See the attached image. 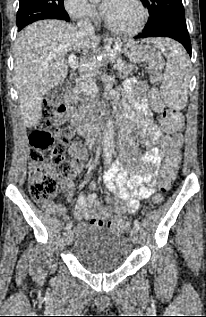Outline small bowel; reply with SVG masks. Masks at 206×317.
Masks as SVG:
<instances>
[{
    "label": "small bowel",
    "instance_id": "obj_1",
    "mask_svg": "<svg viewBox=\"0 0 206 317\" xmlns=\"http://www.w3.org/2000/svg\"><path fill=\"white\" fill-rule=\"evenodd\" d=\"M132 109L128 110L123 121L120 158L112 164L104 177L107 188L116 195L114 200L106 198L107 207H102L95 193H80L77 196L74 217L77 220H87L92 226H102L107 219H114L123 213H135L140 201L153 196L156 193V181L160 163L163 158L173 151H179L182 145V137L177 133H165L159 126L154 124L153 112L160 113L163 103L160 100L156 88L148 91L149 103L145 98L148 90L143 81L137 82L130 78L125 84ZM133 130L135 133L133 134ZM140 141L151 147L149 151H143L138 147ZM73 160L80 168V161L85 157L83 147L75 143L70 148ZM57 178L61 188L70 199L74 197L75 189L68 178ZM96 183H90L89 190L96 189ZM43 209L51 214L61 216L64 220V206L55 201H41ZM85 224H78L77 232H83Z\"/></svg>",
    "mask_w": 206,
    "mask_h": 317
}]
</instances>
